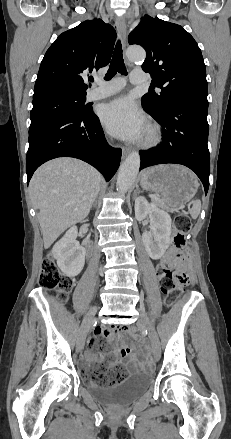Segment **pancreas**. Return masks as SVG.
<instances>
[{
    "instance_id": "1",
    "label": "pancreas",
    "mask_w": 231,
    "mask_h": 439,
    "mask_svg": "<svg viewBox=\"0 0 231 439\" xmlns=\"http://www.w3.org/2000/svg\"><path fill=\"white\" fill-rule=\"evenodd\" d=\"M153 201H154L155 204L164 207V205H163V203H162V201H161L160 199H158V200H153ZM164 208H166V207H164ZM166 209L170 210L169 208H166Z\"/></svg>"
}]
</instances>
